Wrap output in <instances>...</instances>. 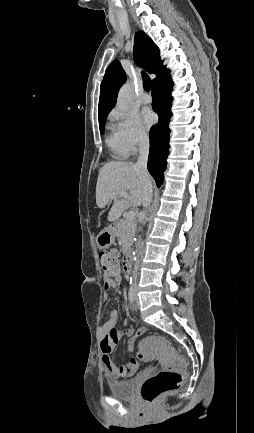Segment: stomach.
Instances as JSON below:
<instances>
[{
    "label": "stomach",
    "instance_id": "0dacf381",
    "mask_svg": "<svg viewBox=\"0 0 254 433\" xmlns=\"http://www.w3.org/2000/svg\"><path fill=\"white\" fill-rule=\"evenodd\" d=\"M115 229L108 227L102 230L96 237V243L100 249L110 247L115 241Z\"/></svg>",
    "mask_w": 254,
    "mask_h": 433
}]
</instances>
